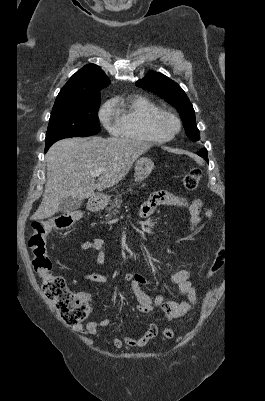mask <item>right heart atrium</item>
<instances>
[{
    "label": "right heart atrium",
    "mask_w": 265,
    "mask_h": 401,
    "mask_svg": "<svg viewBox=\"0 0 265 401\" xmlns=\"http://www.w3.org/2000/svg\"><path fill=\"white\" fill-rule=\"evenodd\" d=\"M99 118L101 122L110 128L115 126V116L112 113L111 104L109 102L104 103L99 110Z\"/></svg>",
    "instance_id": "d8ad5b80"
}]
</instances>
